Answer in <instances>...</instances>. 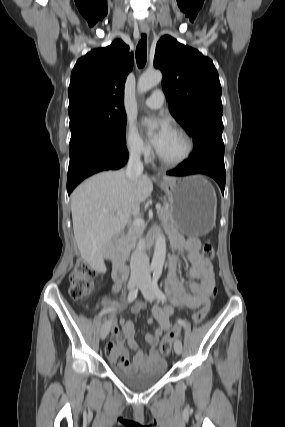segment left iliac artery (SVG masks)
<instances>
[{
    "mask_svg": "<svg viewBox=\"0 0 285 427\" xmlns=\"http://www.w3.org/2000/svg\"><path fill=\"white\" fill-rule=\"evenodd\" d=\"M161 273H162V269L161 268H156L154 270L152 285H153V288H154V291H155V294H156L157 298L159 300H161L162 302H165L166 301V296L162 292V290L158 287V280H159V278L161 276ZM178 323L180 325H183V321L182 320H178Z\"/></svg>",
    "mask_w": 285,
    "mask_h": 427,
    "instance_id": "obj_1",
    "label": "left iliac artery"
}]
</instances>
